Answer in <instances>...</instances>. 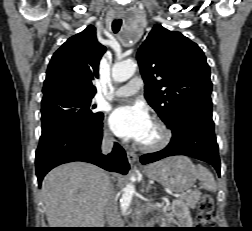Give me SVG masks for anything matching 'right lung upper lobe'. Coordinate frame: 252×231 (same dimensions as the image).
I'll return each instance as SVG.
<instances>
[{"mask_svg":"<svg viewBox=\"0 0 252 231\" xmlns=\"http://www.w3.org/2000/svg\"><path fill=\"white\" fill-rule=\"evenodd\" d=\"M106 48L97 41L96 29L90 25L70 37L52 56L43 86V99L58 94L93 97L98 66Z\"/></svg>","mask_w":252,"mask_h":231,"instance_id":"obj_1","label":"right lung upper lobe"}]
</instances>
